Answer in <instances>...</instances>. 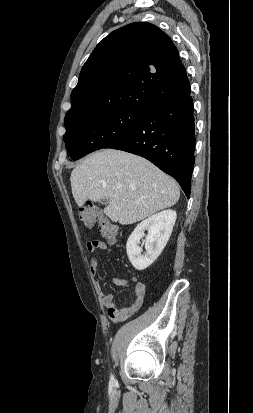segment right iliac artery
I'll return each mask as SVG.
<instances>
[{"instance_id": "1", "label": "right iliac artery", "mask_w": 253, "mask_h": 413, "mask_svg": "<svg viewBox=\"0 0 253 413\" xmlns=\"http://www.w3.org/2000/svg\"><path fill=\"white\" fill-rule=\"evenodd\" d=\"M111 380H114V377H113V375H111Z\"/></svg>"}]
</instances>
